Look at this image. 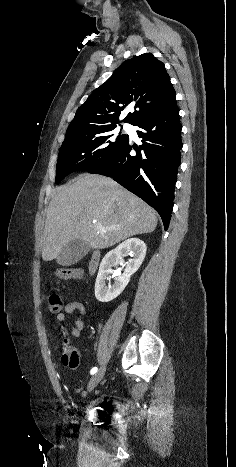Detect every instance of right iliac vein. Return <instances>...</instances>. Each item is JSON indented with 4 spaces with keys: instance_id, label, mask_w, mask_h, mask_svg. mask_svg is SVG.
I'll return each mask as SVG.
<instances>
[{
    "instance_id": "obj_1",
    "label": "right iliac vein",
    "mask_w": 236,
    "mask_h": 467,
    "mask_svg": "<svg viewBox=\"0 0 236 467\" xmlns=\"http://www.w3.org/2000/svg\"><path fill=\"white\" fill-rule=\"evenodd\" d=\"M104 374H105V367H102L98 372H96L92 376L87 386V392H91L98 385V383L104 377Z\"/></svg>"
}]
</instances>
